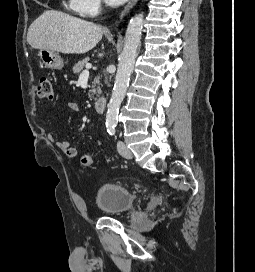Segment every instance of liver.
<instances>
[{"label":"liver","mask_w":255,"mask_h":272,"mask_svg":"<svg viewBox=\"0 0 255 272\" xmlns=\"http://www.w3.org/2000/svg\"><path fill=\"white\" fill-rule=\"evenodd\" d=\"M103 28L66 13L47 10L29 27L27 42L35 49L64 54H82L102 39Z\"/></svg>","instance_id":"obj_1"}]
</instances>
